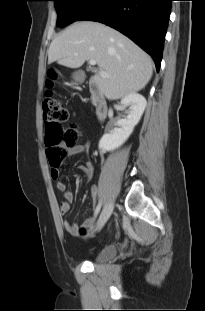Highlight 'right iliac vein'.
<instances>
[{
	"label": "right iliac vein",
	"mask_w": 205,
	"mask_h": 311,
	"mask_svg": "<svg viewBox=\"0 0 205 311\" xmlns=\"http://www.w3.org/2000/svg\"><path fill=\"white\" fill-rule=\"evenodd\" d=\"M113 207H114V205L112 202L105 204V206H104V208L100 214V217L98 219L97 225H96L97 230H101L102 227L105 225V223L108 221L109 217L112 214Z\"/></svg>",
	"instance_id": "1"
}]
</instances>
